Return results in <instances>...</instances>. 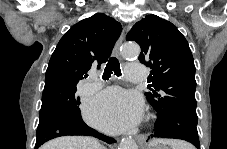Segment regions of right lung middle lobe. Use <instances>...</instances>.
Here are the masks:
<instances>
[{
    "instance_id": "dd1d6c3e",
    "label": "right lung middle lobe",
    "mask_w": 227,
    "mask_h": 149,
    "mask_svg": "<svg viewBox=\"0 0 227 149\" xmlns=\"http://www.w3.org/2000/svg\"><path fill=\"white\" fill-rule=\"evenodd\" d=\"M76 86L54 85L44 88L39 123L62 118L81 119L79 98L75 97Z\"/></svg>"
}]
</instances>
